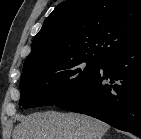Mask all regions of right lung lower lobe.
Here are the masks:
<instances>
[{
	"label": "right lung lower lobe",
	"instance_id": "1",
	"mask_svg": "<svg viewBox=\"0 0 141 139\" xmlns=\"http://www.w3.org/2000/svg\"><path fill=\"white\" fill-rule=\"evenodd\" d=\"M55 105L141 138V42L107 55L84 86Z\"/></svg>",
	"mask_w": 141,
	"mask_h": 139
}]
</instances>
